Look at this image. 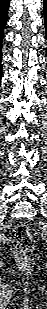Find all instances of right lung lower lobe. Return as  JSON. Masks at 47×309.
<instances>
[{"instance_id":"1","label":"right lung lower lobe","mask_w":47,"mask_h":309,"mask_svg":"<svg viewBox=\"0 0 47 309\" xmlns=\"http://www.w3.org/2000/svg\"><path fill=\"white\" fill-rule=\"evenodd\" d=\"M8 7H9L8 0H0V79H1V68H2L1 66V60H2L1 43L3 39L4 26L7 22Z\"/></svg>"}]
</instances>
